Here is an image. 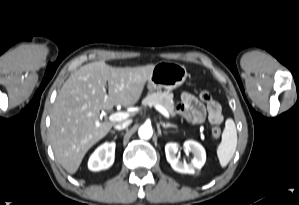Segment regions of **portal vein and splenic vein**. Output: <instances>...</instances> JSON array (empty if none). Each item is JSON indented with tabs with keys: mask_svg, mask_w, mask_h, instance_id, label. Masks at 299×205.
Instances as JSON below:
<instances>
[{
	"mask_svg": "<svg viewBox=\"0 0 299 205\" xmlns=\"http://www.w3.org/2000/svg\"><path fill=\"white\" fill-rule=\"evenodd\" d=\"M155 108L166 118L170 117L168 111L161 105L155 104ZM127 117H128V114L125 112H116V113L111 114L108 117V120L111 122H119V121L126 119Z\"/></svg>",
	"mask_w": 299,
	"mask_h": 205,
	"instance_id": "18ae733b",
	"label": "portal vein and splenic vein"
}]
</instances>
